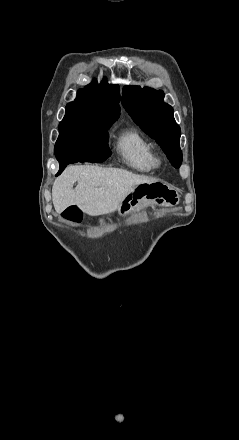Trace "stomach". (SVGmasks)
<instances>
[{"mask_svg":"<svg viewBox=\"0 0 239 440\" xmlns=\"http://www.w3.org/2000/svg\"><path fill=\"white\" fill-rule=\"evenodd\" d=\"M149 202H156L162 206H175L178 204L179 198L175 190H171L166 184L162 182H155V184H141L128 196L120 202L118 212L120 216H127L134 210H143L148 206ZM100 224H104V220H100Z\"/></svg>","mask_w":239,"mask_h":440,"instance_id":"1","label":"stomach"}]
</instances>
